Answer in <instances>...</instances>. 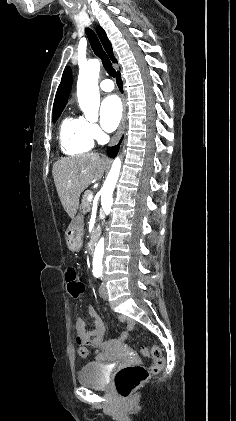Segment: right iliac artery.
Segmentation results:
<instances>
[{"instance_id":"right-iliac-artery-1","label":"right iliac artery","mask_w":236,"mask_h":421,"mask_svg":"<svg viewBox=\"0 0 236 421\" xmlns=\"http://www.w3.org/2000/svg\"><path fill=\"white\" fill-rule=\"evenodd\" d=\"M94 276H95V277H100V276H101V274H94Z\"/></svg>"}]
</instances>
